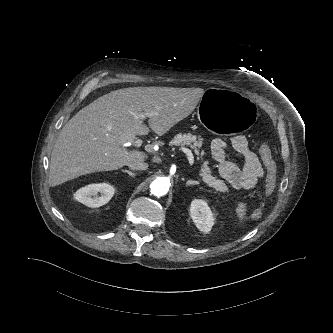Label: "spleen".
<instances>
[{"label":"spleen","instance_id":"spleen-1","mask_svg":"<svg viewBox=\"0 0 333 333\" xmlns=\"http://www.w3.org/2000/svg\"><path fill=\"white\" fill-rule=\"evenodd\" d=\"M245 212H246V204L243 202H239L236 207V213L241 220L243 219Z\"/></svg>","mask_w":333,"mask_h":333}]
</instances>
